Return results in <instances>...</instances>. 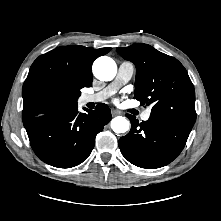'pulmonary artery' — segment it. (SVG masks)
<instances>
[{
  "instance_id": "e3ab8cb5",
  "label": "pulmonary artery",
  "mask_w": 221,
  "mask_h": 221,
  "mask_svg": "<svg viewBox=\"0 0 221 221\" xmlns=\"http://www.w3.org/2000/svg\"><path fill=\"white\" fill-rule=\"evenodd\" d=\"M134 74V65L128 61H123L120 63L117 71V75L112 83H110L108 86H106L104 89L92 93V94H86L82 96L81 101L83 104L88 103H98L102 102L105 99L112 96L121 86L126 84L133 76ZM151 114V110H146L141 118L142 120L146 121L149 119Z\"/></svg>"
}]
</instances>
